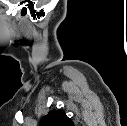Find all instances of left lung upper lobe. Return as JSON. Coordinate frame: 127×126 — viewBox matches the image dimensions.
Wrapping results in <instances>:
<instances>
[{
  "mask_svg": "<svg viewBox=\"0 0 127 126\" xmlns=\"http://www.w3.org/2000/svg\"><path fill=\"white\" fill-rule=\"evenodd\" d=\"M39 126H74V124L63 110L58 109L51 110L44 116L41 119Z\"/></svg>",
  "mask_w": 127,
  "mask_h": 126,
  "instance_id": "obj_1",
  "label": "left lung upper lobe"
}]
</instances>
